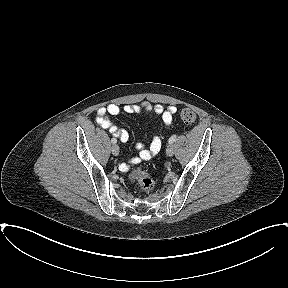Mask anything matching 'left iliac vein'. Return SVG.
Returning a JSON list of instances; mask_svg holds the SVG:
<instances>
[{
	"label": "left iliac vein",
	"instance_id": "left-iliac-vein-1",
	"mask_svg": "<svg viewBox=\"0 0 288 288\" xmlns=\"http://www.w3.org/2000/svg\"><path fill=\"white\" fill-rule=\"evenodd\" d=\"M166 154H167V156H169V157L173 156V154H174V146H173L172 144H169V145L167 146Z\"/></svg>",
	"mask_w": 288,
	"mask_h": 288
}]
</instances>
